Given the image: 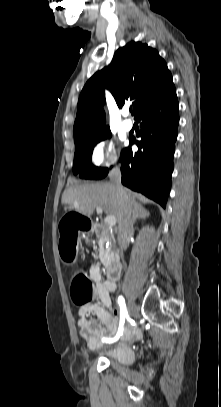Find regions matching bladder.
Masks as SVG:
<instances>
[{
  "label": "bladder",
  "instance_id": "31cf9c89",
  "mask_svg": "<svg viewBox=\"0 0 221 407\" xmlns=\"http://www.w3.org/2000/svg\"><path fill=\"white\" fill-rule=\"evenodd\" d=\"M107 356L114 362L128 365L134 360V351L129 347L120 346L112 349Z\"/></svg>",
  "mask_w": 221,
  "mask_h": 407
}]
</instances>
